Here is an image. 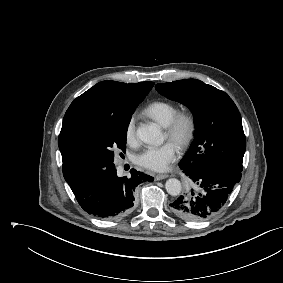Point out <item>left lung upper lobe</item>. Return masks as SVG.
<instances>
[{"label":"left lung upper lobe","mask_w":283,"mask_h":283,"mask_svg":"<svg viewBox=\"0 0 283 283\" xmlns=\"http://www.w3.org/2000/svg\"><path fill=\"white\" fill-rule=\"evenodd\" d=\"M155 88L187 106L195 118V139L180 167L199 171L219 166L242 171L246 139L241 115L228 94L196 79L159 83Z\"/></svg>","instance_id":"1"}]
</instances>
